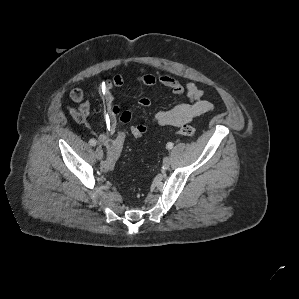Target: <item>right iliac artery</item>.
Segmentation results:
<instances>
[{
	"label": "right iliac artery",
	"mask_w": 299,
	"mask_h": 299,
	"mask_svg": "<svg viewBox=\"0 0 299 299\" xmlns=\"http://www.w3.org/2000/svg\"><path fill=\"white\" fill-rule=\"evenodd\" d=\"M90 145L95 146L97 144V141L95 139H90L89 140Z\"/></svg>",
	"instance_id": "1"
}]
</instances>
